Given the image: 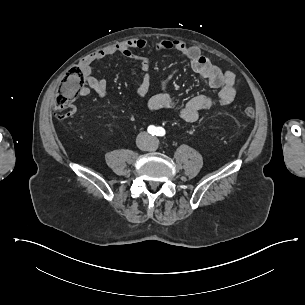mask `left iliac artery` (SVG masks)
Returning a JSON list of instances; mask_svg holds the SVG:
<instances>
[{"instance_id":"left-iliac-artery-1","label":"left iliac artery","mask_w":305,"mask_h":305,"mask_svg":"<svg viewBox=\"0 0 305 305\" xmlns=\"http://www.w3.org/2000/svg\"><path fill=\"white\" fill-rule=\"evenodd\" d=\"M156 135L157 136H164L165 135V130L162 127H158Z\"/></svg>"}]
</instances>
